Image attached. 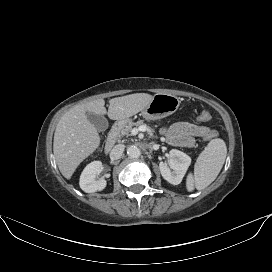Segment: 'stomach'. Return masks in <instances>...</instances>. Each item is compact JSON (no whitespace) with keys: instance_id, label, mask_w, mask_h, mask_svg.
Masks as SVG:
<instances>
[{"instance_id":"0dacf381","label":"stomach","mask_w":272,"mask_h":272,"mask_svg":"<svg viewBox=\"0 0 272 272\" xmlns=\"http://www.w3.org/2000/svg\"><path fill=\"white\" fill-rule=\"evenodd\" d=\"M179 105L180 99L175 95L158 93L153 96L148 106L142 110L141 115L146 120L161 119L176 112ZM120 122L125 124L129 122V119H124Z\"/></svg>"}]
</instances>
